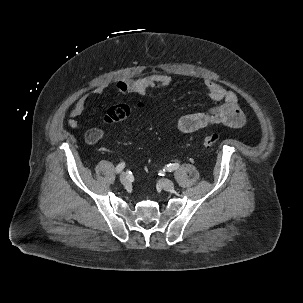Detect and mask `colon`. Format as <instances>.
Instances as JSON below:
<instances>
[{
    "instance_id": "5ec220e1",
    "label": "colon",
    "mask_w": 303,
    "mask_h": 303,
    "mask_svg": "<svg viewBox=\"0 0 303 303\" xmlns=\"http://www.w3.org/2000/svg\"><path fill=\"white\" fill-rule=\"evenodd\" d=\"M142 103H139L138 106H142ZM131 109L126 104H118L112 106L108 109L104 116V122L106 124H115L117 122L125 120L130 115ZM220 139L218 133H210L206 135L202 140V145L205 148H211L214 146Z\"/></svg>"
}]
</instances>
